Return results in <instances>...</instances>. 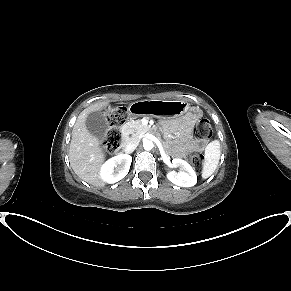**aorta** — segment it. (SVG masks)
Segmentation results:
<instances>
[{
    "label": "aorta",
    "mask_w": 291,
    "mask_h": 291,
    "mask_svg": "<svg viewBox=\"0 0 291 291\" xmlns=\"http://www.w3.org/2000/svg\"><path fill=\"white\" fill-rule=\"evenodd\" d=\"M153 142L151 141V140H145L144 142H143V147H144V149L146 150V151H149V150H151L152 148H153Z\"/></svg>",
    "instance_id": "obj_1"
}]
</instances>
